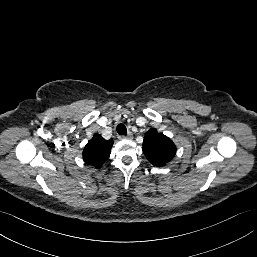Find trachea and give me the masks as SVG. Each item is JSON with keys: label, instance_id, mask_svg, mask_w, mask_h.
I'll return each instance as SVG.
<instances>
[{"label": "trachea", "instance_id": "trachea-1", "mask_svg": "<svg viewBox=\"0 0 257 257\" xmlns=\"http://www.w3.org/2000/svg\"><path fill=\"white\" fill-rule=\"evenodd\" d=\"M117 132L119 135H126L127 134V128L125 127L124 124H119L117 126Z\"/></svg>", "mask_w": 257, "mask_h": 257}]
</instances>
